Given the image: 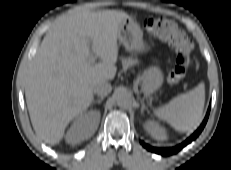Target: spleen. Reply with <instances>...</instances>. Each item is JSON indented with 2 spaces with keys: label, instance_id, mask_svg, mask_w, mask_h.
<instances>
[{
  "label": "spleen",
  "instance_id": "obj_1",
  "mask_svg": "<svg viewBox=\"0 0 231 170\" xmlns=\"http://www.w3.org/2000/svg\"><path fill=\"white\" fill-rule=\"evenodd\" d=\"M205 103L204 84H199L193 90L172 99L168 104L154 113L178 131L196 129L201 120Z\"/></svg>",
  "mask_w": 231,
  "mask_h": 170
}]
</instances>
